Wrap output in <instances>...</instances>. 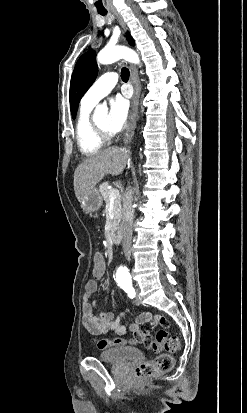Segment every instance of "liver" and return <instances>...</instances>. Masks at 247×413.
Instances as JSON below:
<instances>
[{
	"mask_svg": "<svg viewBox=\"0 0 247 413\" xmlns=\"http://www.w3.org/2000/svg\"><path fill=\"white\" fill-rule=\"evenodd\" d=\"M128 158L129 152L124 146H110L86 156L74 172V190L78 200L95 188L105 174H121Z\"/></svg>",
	"mask_w": 247,
	"mask_h": 413,
	"instance_id": "obj_1",
	"label": "liver"
}]
</instances>
